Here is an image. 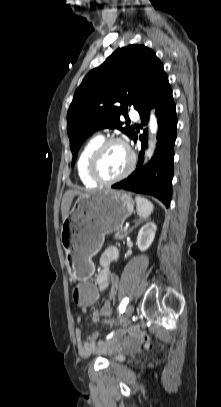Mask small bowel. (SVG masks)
Wrapping results in <instances>:
<instances>
[{"mask_svg": "<svg viewBox=\"0 0 221 407\" xmlns=\"http://www.w3.org/2000/svg\"><path fill=\"white\" fill-rule=\"evenodd\" d=\"M118 258L119 253L117 248L114 246L106 248L101 254L99 258L100 268L98 269L95 277V283L97 287L96 291L98 292V296L100 293L108 292L109 297L112 299L116 295L118 277L116 274L111 273L110 266L112 263L117 262ZM82 283H91V282H82ZM104 305H110V303L107 302ZM90 311L92 314H94L93 320L97 323L99 320L97 318L95 319V315L100 314L101 311L100 306L92 305ZM77 322H81L80 317L77 318ZM108 324L111 323L108 321ZM75 337L78 352L82 356H88L90 354L98 352L101 349V346L98 343L99 338L98 332H95L88 336L86 339H84L82 336V331L80 329H76ZM105 347L109 350H114L115 346H113V340L111 342H108Z\"/></svg>", "mask_w": 221, "mask_h": 407, "instance_id": "c3829d8e", "label": "small bowel"}]
</instances>
